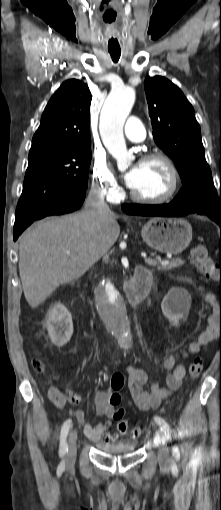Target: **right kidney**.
Returning <instances> with one entry per match:
<instances>
[{
	"mask_svg": "<svg viewBox=\"0 0 221 510\" xmlns=\"http://www.w3.org/2000/svg\"><path fill=\"white\" fill-rule=\"evenodd\" d=\"M45 325L50 340L56 347H63L70 341L73 334V322L70 313L63 304L56 303L52 307Z\"/></svg>",
	"mask_w": 221,
	"mask_h": 510,
	"instance_id": "obj_1",
	"label": "right kidney"
}]
</instances>
